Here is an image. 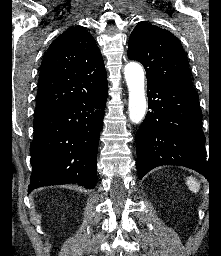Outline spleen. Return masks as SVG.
<instances>
[{
  "instance_id": "obj_1",
  "label": "spleen",
  "mask_w": 221,
  "mask_h": 256,
  "mask_svg": "<svg viewBox=\"0 0 221 256\" xmlns=\"http://www.w3.org/2000/svg\"><path fill=\"white\" fill-rule=\"evenodd\" d=\"M186 183L192 192L196 193L199 191L200 183L197 179L193 177H188Z\"/></svg>"
}]
</instances>
